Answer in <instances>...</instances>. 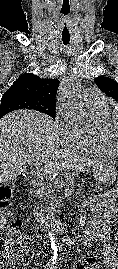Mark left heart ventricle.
Instances as JSON below:
<instances>
[{
	"mask_svg": "<svg viewBox=\"0 0 118 269\" xmlns=\"http://www.w3.org/2000/svg\"><path fill=\"white\" fill-rule=\"evenodd\" d=\"M112 134L115 140L118 142V122L115 124Z\"/></svg>",
	"mask_w": 118,
	"mask_h": 269,
	"instance_id": "obj_1",
	"label": "left heart ventricle"
}]
</instances>
